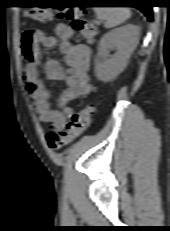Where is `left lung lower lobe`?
Wrapping results in <instances>:
<instances>
[{
  "label": "left lung lower lobe",
  "mask_w": 170,
  "mask_h": 231,
  "mask_svg": "<svg viewBox=\"0 0 170 231\" xmlns=\"http://www.w3.org/2000/svg\"><path fill=\"white\" fill-rule=\"evenodd\" d=\"M130 4H135V6L140 11H142L149 21H152V6L149 5V0H131Z\"/></svg>",
  "instance_id": "0a47b994"
}]
</instances>
